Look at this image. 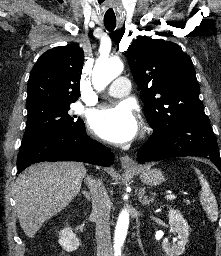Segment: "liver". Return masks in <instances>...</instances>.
I'll return each instance as SVG.
<instances>
[{
	"instance_id": "1",
	"label": "liver",
	"mask_w": 221,
	"mask_h": 256,
	"mask_svg": "<svg viewBox=\"0 0 221 256\" xmlns=\"http://www.w3.org/2000/svg\"><path fill=\"white\" fill-rule=\"evenodd\" d=\"M86 169L77 162H44L30 166L15 182L17 216L33 238L43 223L62 211L81 189Z\"/></svg>"
}]
</instances>
